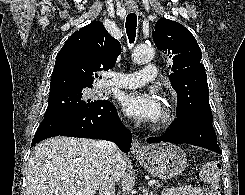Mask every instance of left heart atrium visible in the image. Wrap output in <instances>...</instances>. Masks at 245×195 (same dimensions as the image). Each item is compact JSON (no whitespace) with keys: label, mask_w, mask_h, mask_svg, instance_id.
<instances>
[{"label":"left heart atrium","mask_w":245,"mask_h":195,"mask_svg":"<svg viewBox=\"0 0 245 195\" xmlns=\"http://www.w3.org/2000/svg\"><path fill=\"white\" fill-rule=\"evenodd\" d=\"M118 98L123 110L140 122H154L161 114L160 103L152 93L130 90L120 93Z\"/></svg>","instance_id":"39dd6f15"}]
</instances>
